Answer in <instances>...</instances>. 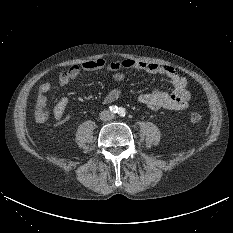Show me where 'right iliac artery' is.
Wrapping results in <instances>:
<instances>
[{
    "label": "right iliac artery",
    "mask_w": 233,
    "mask_h": 233,
    "mask_svg": "<svg viewBox=\"0 0 233 233\" xmlns=\"http://www.w3.org/2000/svg\"><path fill=\"white\" fill-rule=\"evenodd\" d=\"M109 110L111 111V113H117L119 109L116 105H112L109 107Z\"/></svg>",
    "instance_id": "obj_1"
}]
</instances>
